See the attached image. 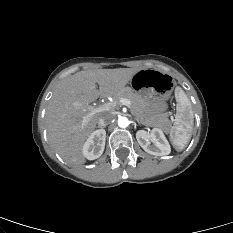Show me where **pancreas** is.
<instances>
[{"label": "pancreas", "instance_id": "pancreas-1", "mask_svg": "<svg viewBox=\"0 0 233 233\" xmlns=\"http://www.w3.org/2000/svg\"><path fill=\"white\" fill-rule=\"evenodd\" d=\"M121 98L128 99L131 102V112L142 124L168 129L169 122L165 115H150L148 102L135 93L131 88H125L120 96L116 97L117 100H120Z\"/></svg>", "mask_w": 233, "mask_h": 233}]
</instances>
